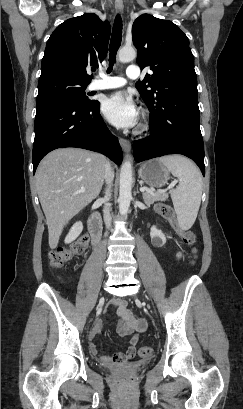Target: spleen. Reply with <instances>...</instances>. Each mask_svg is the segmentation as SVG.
<instances>
[{
  "label": "spleen",
  "instance_id": "3e777b00",
  "mask_svg": "<svg viewBox=\"0 0 243 409\" xmlns=\"http://www.w3.org/2000/svg\"><path fill=\"white\" fill-rule=\"evenodd\" d=\"M159 161L179 180L177 188L171 191V198L180 228L188 230L196 220L201 203V174L189 159L181 155L164 156Z\"/></svg>",
  "mask_w": 243,
  "mask_h": 409
}]
</instances>
